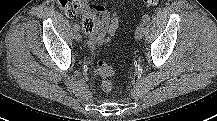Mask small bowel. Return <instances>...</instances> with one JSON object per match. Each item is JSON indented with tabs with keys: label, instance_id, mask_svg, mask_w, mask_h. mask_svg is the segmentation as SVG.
<instances>
[{
	"label": "small bowel",
	"instance_id": "small-bowel-1",
	"mask_svg": "<svg viewBox=\"0 0 217 121\" xmlns=\"http://www.w3.org/2000/svg\"><path fill=\"white\" fill-rule=\"evenodd\" d=\"M112 16L108 17L106 30L102 34H88V45L91 49H95L105 42L106 35L113 36L119 25V16L114 9H111Z\"/></svg>",
	"mask_w": 217,
	"mask_h": 121
}]
</instances>
